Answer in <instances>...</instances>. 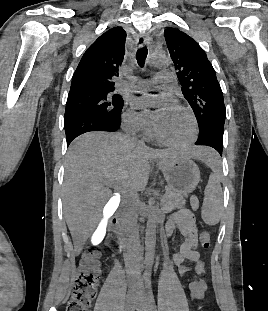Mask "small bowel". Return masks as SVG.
I'll use <instances>...</instances> for the list:
<instances>
[{
    "label": "small bowel",
    "instance_id": "c3829d8e",
    "mask_svg": "<svg viewBox=\"0 0 268 311\" xmlns=\"http://www.w3.org/2000/svg\"><path fill=\"white\" fill-rule=\"evenodd\" d=\"M178 230L184 237L180 244L179 251L172 256L174 264L178 267V273L185 275L189 272H195L200 278L190 282L189 288L193 299H201L207 289L206 264L200 258L197 251L198 247V230L193 213L188 209H181L174 213L165 225V234L172 237ZM191 261L193 267L186 266L184 263Z\"/></svg>",
    "mask_w": 268,
    "mask_h": 311
}]
</instances>
